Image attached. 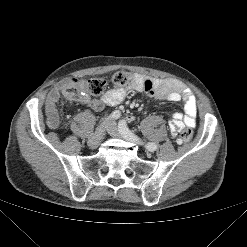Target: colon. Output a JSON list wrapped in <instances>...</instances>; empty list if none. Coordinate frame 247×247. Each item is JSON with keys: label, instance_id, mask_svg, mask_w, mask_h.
<instances>
[{"label": "colon", "instance_id": "colon-1", "mask_svg": "<svg viewBox=\"0 0 247 247\" xmlns=\"http://www.w3.org/2000/svg\"><path fill=\"white\" fill-rule=\"evenodd\" d=\"M112 82L119 87H132L137 84L138 79L135 75L128 72H117L112 76ZM106 80L102 78H92L82 82L81 85L72 86L64 90V95L70 100L79 99L85 92L92 95L101 94L106 87ZM192 138L190 128L183 129L178 136V143H187Z\"/></svg>", "mask_w": 247, "mask_h": 247}]
</instances>
